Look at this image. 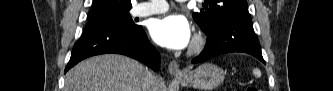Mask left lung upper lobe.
I'll return each instance as SVG.
<instances>
[{
	"instance_id": "left-lung-upper-lobe-1",
	"label": "left lung upper lobe",
	"mask_w": 333,
	"mask_h": 91,
	"mask_svg": "<svg viewBox=\"0 0 333 91\" xmlns=\"http://www.w3.org/2000/svg\"><path fill=\"white\" fill-rule=\"evenodd\" d=\"M203 9L193 13V18L202 31L208 34L223 19L249 15L247 0H204Z\"/></svg>"
}]
</instances>
